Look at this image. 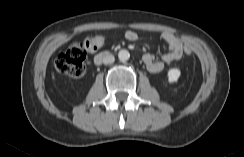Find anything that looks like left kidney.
Returning a JSON list of instances; mask_svg holds the SVG:
<instances>
[{
    "label": "left kidney",
    "mask_w": 244,
    "mask_h": 157,
    "mask_svg": "<svg viewBox=\"0 0 244 157\" xmlns=\"http://www.w3.org/2000/svg\"><path fill=\"white\" fill-rule=\"evenodd\" d=\"M180 70L177 68H171L168 71V81L169 83H176L180 77Z\"/></svg>",
    "instance_id": "5707ae66"
}]
</instances>
